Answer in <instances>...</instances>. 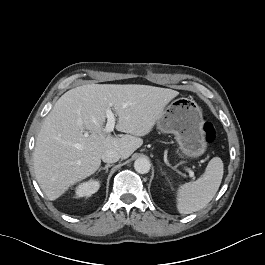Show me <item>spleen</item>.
<instances>
[{"label":"spleen","mask_w":265,"mask_h":265,"mask_svg":"<svg viewBox=\"0 0 265 265\" xmlns=\"http://www.w3.org/2000/svg\"><path fill=\"white\" fill-rule=\"evenodd\" d=\"M221 158H212L204 174L196 181L181 185L177 190V209L181 214H190L207 206L219 189L223 178Z\"/></svg>","instance_id":"1"}]
</instances>
